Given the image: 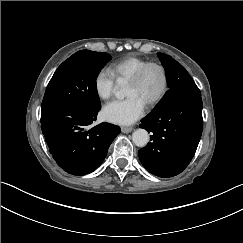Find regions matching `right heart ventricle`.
<instances>
[{
  "instance_id": "obj_1",
  "label": "right heart ventricle",
  "mask_w": 243,
  "mask_h": 243,
  "mask_svg": "<svg viewBox=\"0 0 243 243\" xmlns=\"http://www.w3.org/2000/svg\"><path fill=\"white\" fill-rule=\"evenodd\" d=\"M148 60L139 56H128L110 66L118 82H127L128 79Z\"/></svg>"
}]
</instances>
